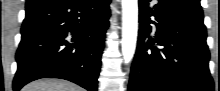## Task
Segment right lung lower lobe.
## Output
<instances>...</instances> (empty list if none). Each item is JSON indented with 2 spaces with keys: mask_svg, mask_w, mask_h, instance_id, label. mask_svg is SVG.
Instances as JSON below:
<instances>
[{
  "mask_svg": "<svg viewBox=\"0 0 220 91\" xmlns=\"http://www.w3.org/2000/svg\"><path fill=\"white\" fill-rule=\"evenodd\" d=\"M110 0H47L26 7L14 91L61 78L97 91Z\"/></svg>",
  "mask_w": 220,
  "mask_h": 91,
  "instance_id": "right-lung-lower-lobe-1",
  "label": "right lung lower lobe"
}]
</instances>
